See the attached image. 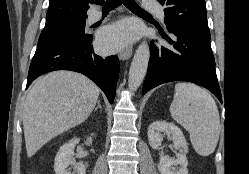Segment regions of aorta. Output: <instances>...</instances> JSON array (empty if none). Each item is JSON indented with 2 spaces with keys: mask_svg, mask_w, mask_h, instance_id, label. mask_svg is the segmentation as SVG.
I'll use <instances>...</instances> for the list:
<instances>
[{
  "mask_svg": "<svg viewBox=\"0 0 249 174\" xmlns=\"http://www.w3.org/2000/svg\"><path fill=\"white\" fill-rule=\"evenodd\" d=\"M150 59V48L143 41L135 51L129 70L128 87L130 91H136L143 82Z\"/></svg>",
  "mask_w": 249,
  "mask_h": 174,
  "instance_id": "762f6f07",
  "label": "aorta"
}]
</instances>
